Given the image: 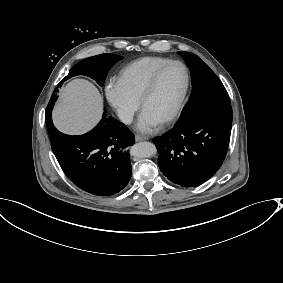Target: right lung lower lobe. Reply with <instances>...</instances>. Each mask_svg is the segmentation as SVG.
<instances>
[{
    "mask_svg": "<svg viewBox=\"0 0 283 283\" xmlns=\"http://www.w3.org/2000/svg\"><path fill=\"white\" fill-rule=\"evenodd\" d=\"M61 81L58 86H61ZM56 96L46 108L45 120L52 150L67 177L79 188L97 196L121 191L132 176L128 147L133 133L113 117L103 119L89 133L70 136L53 125L51 112Z\"/></svg>",
    "mask_w": 283,
    "mask_h": 283,
    "instance_id": "right-lung-lower-lobe-1",
    "label": "right lung lower lobe"
}]
</instances>
